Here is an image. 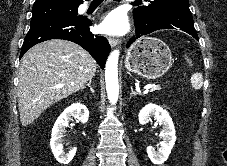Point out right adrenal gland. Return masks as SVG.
<instances>
[{"instance_id":"right-adrenal-gland-1","label":"right adrenal gland","mask_w":227,"mask_h":166,"mask_svg":"<svg viewBox=\"0 0 227 166\" xmlns=\"http://www.w3.org/2000/svg\"><path fill=\"white\" fill-rule=\"evenodd\" d=\"M91 82H92V80L90 79L89 82L87 83V87H89L91 92L94 93V90H93V88L91 86Z\"/></svg>"}]
</instances>
